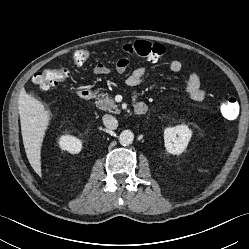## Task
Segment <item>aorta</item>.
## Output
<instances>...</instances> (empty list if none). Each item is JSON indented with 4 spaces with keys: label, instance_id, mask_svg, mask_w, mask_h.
Wrapping results in <instances>:
<instances>
[{
    "label": "aorta",
    "instance_id": "762f6f07",
    "mask_svg": "<svg viewBox=\"0 0 249 249\" xmlns=\"http://www.w3.org/2000/svg\"><path fill=\"white\" fill-rule=\"evenodd\" d=\"M134 140V134L130 130H124L119 135V142L123 146L130 145Z\"/></svg>",
    "mask_w": 249,
    "mask_h": 249
}]
</instances>
